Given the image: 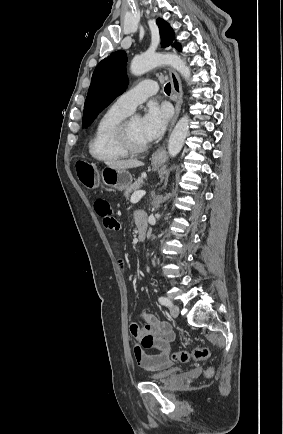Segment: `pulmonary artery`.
<instances>
[{
	"mask_svg": "<svg viewBox=\"0 0 283 434\" xmlns=\"http://www.w3.org/2000/svg\"><path fill=\"white\" fill-rule=\"evenodd\" d=\"M158 90L157 83L153 80H144L136 86L120 95L114 105L120 109L132 112L137 105L154 95Z\"/></svg>",
	"mask_w": 283,
	"mask_h": 434,
	"instance_id": "pulmonary-artery-1",
	"label": "pulmonary artery"
}]
</instances>
